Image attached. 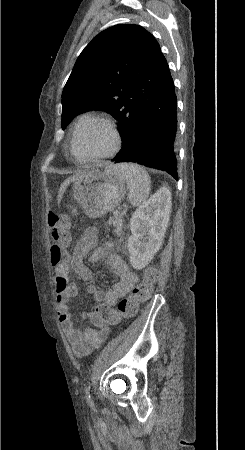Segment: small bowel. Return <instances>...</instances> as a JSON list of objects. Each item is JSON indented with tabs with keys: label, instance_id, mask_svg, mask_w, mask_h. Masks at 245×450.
<instances>
[{
	"label": "small bowel",
	"instance_id": "obj_1",
	"mask_svg": "<svg viewBox=\"0 0 245 450\" xmlns=\"http://www.w3.org/2000/svg\"><path fill=\"white\" fill-rule=\"evenodd\" d=\"M89 253L91 263L104 262L117 278L112 288L106 292L95 285L87 286V292L95 302L114 306L120 298L132 290L138 281L137 275L115 252L114 243L111 241L100 243L94 229L85 231L76 243L70 258L54 268L56 302L59 306L57 317L63 324L73 351L80 358L90 355L98 348L109 332L107 324L99 322L92 313L83 312L74 315L68 305L69 299L78 294L77 284L69 281L70 272L74 271L83 280H89L92 277L84 264V259ZM78 319H90L95 328H77L75 321Z\"/></svg>",
	"mask_w": 245,
	"mask_h": 450
}]
</instances>
